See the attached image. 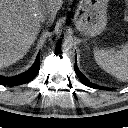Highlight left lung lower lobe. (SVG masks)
Returning <instances> with one entry per match:
<instances>
[{"instance_id":"0a47b994","label":"left lung lower lobe","mask_w":128,"mask_h":128,"mask_svg":"<svg viewBox=\"0 0 128 128\" xmlns=\"http://www.w3.org/2000/svg\"><path fill=\"white\" fill-rule=\"evenodd\" d=\"M75 72L77 74V76L79 77V79L81 80V82L86 85V86H89V87H92V88H96V89H99L98 87L92 85L84 75L81 74V72L78 70L76 64H75ZM103 89V88H102Z\"/></svg>"}]
</instances>
